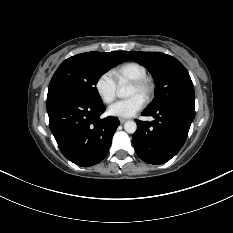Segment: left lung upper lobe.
Wrapping results in <instances>:
<instances>
[{
    "instance_id": "obj_1",
    "label": "left lung upper lobe",
    "mask_w": 233,
    "mask_h": 233,
    "mask_svg": "<svg viewBox=\"0 0 233 233\" xmlns=\"http://www.w3.org/2000/svg\"><path fill=\"white\" fill-rule=\"evenodd\" d=\"M134 61L149 69L156 83L153 102L147 107L157 109L171 104L194 108L192 80L185 67L174 57L160 52L126 51Z\"/></svg>"
}]
</instances>
